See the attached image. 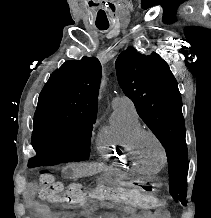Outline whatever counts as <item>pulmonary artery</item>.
Instances as JSON below:
<instances>
[{"mask_svg": "<svg viewBox=\"0 0 211 218\" xmlns=\"http://www.w3.org/2000/svg\"><path fill=\"white\" fill-rule=\"evenodd\" d=\"M113 108L117 107H131L135 108L133 101L126 95L116 96L112 100Z\"/></svg>", "mask_w": 211, "mask_h": 218, "instance_id": "obj_1", "label": "pulmonary artery"}]
</instances>
